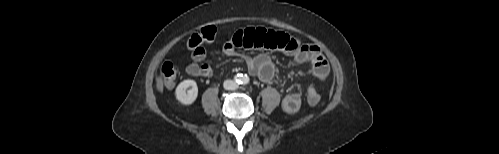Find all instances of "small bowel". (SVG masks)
Instances as JSON below:
<instances>
[{
	"mask_svg": "<svg viewBox=\"0 0 499 154\" xmlns=\"http://www.w3.org/2000/svg\"><path fill=\"white\" fill-rule=\"evenodd\" d=\"M241 48L264 49L280 51L294 59L296 63L311 64L313 75L320 81H324L330 71L328 61L321 49L316 45L305 44L300 39L286 33L273 31L262 27L245 28L235 32L223 45L222 52L227 56L238 55ZM204 47H199L192 52V60L186 67V73L193 77L209 78L213 75V70L208 64H200L206 57ZM249 70L264 82H269L274 76V67L270 57L266 53L259 54L251 58L240 55ZM286 113L294 114L301 107V97L298 93L286 94L281 102Z\"/></svg>",
	"mask_w": 499,
	"mask_h": 154,
	"instance_id": "1",
	"label": "small bowel"
}]
</instances>
